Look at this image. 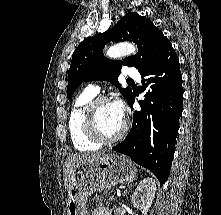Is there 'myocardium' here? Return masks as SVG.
I'll list each match as a JSON object with an SVG mask.
<instances>
[{
  "label": "myocardium",
  "mask_w": 221,
  "mask_h": 215,
  "mask_svg": "<svg viewBox=\"0 0 221 215\" xmlns=\"http://www.w3.org/2000/svg\"><path fill=\"white\" fill-rule=\"evenodd\" d=\"M110 103L106 97H96L90 100L85 106L82 114V128L85 135L98 144H112L121 140L127 132V122L123 121L118 133L113 136H105L101 133L97 125V109L100 105Z\"/></svg>",
  "instance_id": "obj_1"
}]
</instances>
